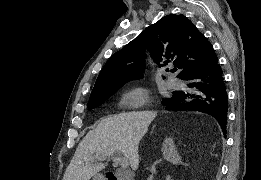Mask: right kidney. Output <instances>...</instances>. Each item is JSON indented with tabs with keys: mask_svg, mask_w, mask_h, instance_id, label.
Listing matches in <instances>:
<instances>
[{
	"mask_svg": "<svg viewBox=\"0 0 261 180\" xmlns=\"http://www.w3.org/2000/svg\"><path fill=\"white\" fill-rule=\"evenodd\" d=\"M162 152L163 158L171 162V164H182L172 138H166V140H164Z\"/></svg>",
	"mask_w": 261,
	"mask_h": 180,
	"instance_id": "right-kidney-1",
	"label": "right kidney"
}]
</instances>
